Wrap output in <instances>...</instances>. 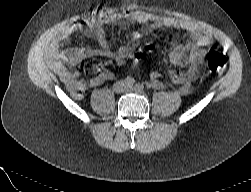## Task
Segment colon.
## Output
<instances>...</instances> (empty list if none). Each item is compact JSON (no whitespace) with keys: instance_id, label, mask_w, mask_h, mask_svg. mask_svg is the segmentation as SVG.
Masks as SVG:
<instances>
[{"instance_id":"5ec220e1","label":"colon","mask_w":251,"mask_h":192,"mask_svg":"<svg viewBox=\"0 0 251 192\" xmlns=\"http://www.w3.org/2000/svg\"><path fill=\"white\" fill-rule=\"evenodd\" d=\"M226 67V58L216 51H210L207 55L206 68L213 76H219Z\"/></svg>"}]
</instances>
